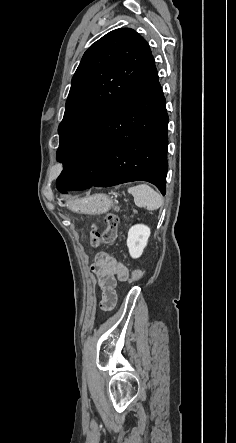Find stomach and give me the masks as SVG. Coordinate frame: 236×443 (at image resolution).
<instances>
[{"label": "stomach", "mask_w": 236, "mask_h": 443, "mask_svg": "<svg viewBox=\"0 0 236 443\" xmlns=\"http://www.w3.org/2000/svg\"><path fill=\"white\" fill-rule=\"evenodd\" d=\"M68 206L80 212L103 214L113 206V201L105 194H95L87 198L71 201Z\"/></svg>", "instance_id": "0dacf381"}]
</instances>
